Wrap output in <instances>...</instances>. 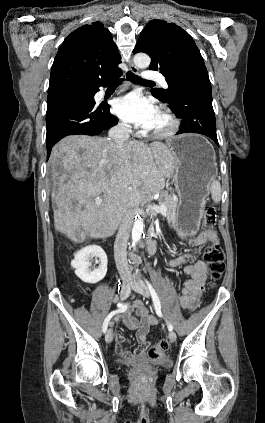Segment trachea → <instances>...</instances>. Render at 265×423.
<instances>
[{
	"instance_id": "3493384b",
	"label": "trachea",
	"mask_w": 265,
	"mask_h": 423,
	"mask_svg": "<svg viewBox=\"0 0 265 423\" xmlns=\"http://www.w3.org/2000/svg\"><path fill=\"white\" fill-rule=\"evenodd\" d=\"M126 79L136 83V84H154L152 81L144 80L140 78L139 76L135 75L134 73L128 72L126 74ZM123 79L115 80L111 83V85H120L122 83Z\"/></svg>"
}]
</instances>
